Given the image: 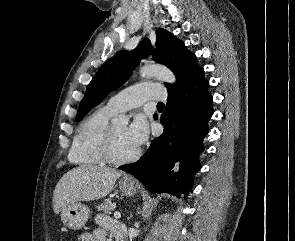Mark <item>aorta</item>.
<instances>
[{
    "instance_id": "obj_1",
    "label": "aorta",
    "mask_w": 295,
    "mask_h": 241,
    "mask_svg": "<svg viewBox=\"0 0 295 241\" xmlns=\"http://www.w3.org/2000/svg\"><path fill=\"white\" fill-rule=\"evenodd\" d=\"M140 74L144 77H155L161 81L174 84L175 75L167 67L156 64H146L140 68ZM129 118L126 115H118L112 119L113 124H127Z\"/></svg>"
}]
</instances>
